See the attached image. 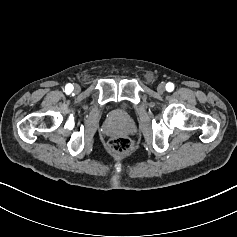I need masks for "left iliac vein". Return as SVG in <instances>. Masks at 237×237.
I'll return each mask as SVG.
<instances>
[{
  "label": "left iliac vein",
  "instance_id": "4c4485c4",
  "mask_svg": "<svg viewBox=\"0 0 237 237\" xmlns=\"http://www.w3.org/2000/svg\"><path fill=\"white\" fill-rule=\"evenodd\" d=\"M157 91L162 94L165 92V85L163 83H160L158 86H157Z\"/></svg>",
  "mask_w": 237,
  "mask_h": 237
}]
</instances>
